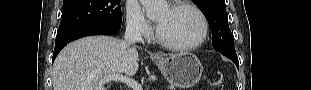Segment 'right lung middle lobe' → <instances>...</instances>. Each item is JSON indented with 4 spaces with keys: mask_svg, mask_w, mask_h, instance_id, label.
Returning <instances> with one entry per match:
<instances>
[{
    "mask_svg": "<svg viewBox=\"0 0 311 90\" xmlns=\"http://www.w3.org/2000/svg\"><path fill=\"white\" fill-rule=\"evenodd\" d=\"M120 0H64L57 34L87 25H120Z\"/></svg>",
    "mask_w": 311,
    "mask_h": 90,
    "instance_id": "dd1d6c3e",
    "label": "right lung middle lobe"
}]
</instances>
